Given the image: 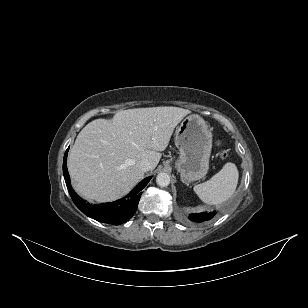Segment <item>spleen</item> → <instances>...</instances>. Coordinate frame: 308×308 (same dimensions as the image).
Returning <instances> with one entry per match:
<instances>
[{"label":"spleen","instance_id":"spleen-1","mask_svg":"<svg viewBox=\"0 0 308 308\" xmlns=\"http://www.w3.org/2000/svg\"><path fill=\"white\" fill-rule=\"evenodd\" d=\"M239 173L233 163H226L223 168L208 181L195 185L194 191L206 204L218 205L230 199L235 193Z\"/></svg>","mask_w":308,"mask_h":308}]
</instances>
